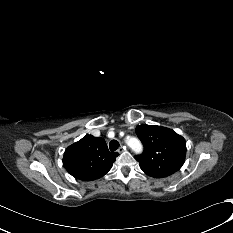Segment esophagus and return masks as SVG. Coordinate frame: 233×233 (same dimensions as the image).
Masks as SVG:
<instances>
[{"mask_svg": "<svg viewBox=\"0 0 233 233\" xmlns=\"http://www.w3.org/2000/svg\"><path fill=\"white\" fill-rule=\"evenodd\" d=\"M126 150L125 146H120L117 150L118 153H123Z\"/></svg>", "mask_w": 233, "mask_h": 233, "instance_id": "34e87169", "label": "esophagus"}]
</instances>
